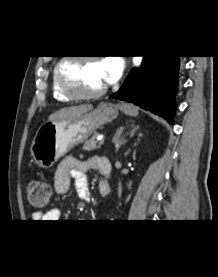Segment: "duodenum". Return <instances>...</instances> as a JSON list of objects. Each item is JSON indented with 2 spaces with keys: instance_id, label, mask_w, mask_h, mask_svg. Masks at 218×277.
<instances>
[{
  "instance_id": "duodenum-1",
  "label": "duodenum",
  "mask_w": 218,
  "mask_h": 277,
  "mask_svg": "<svg viewBox=\"0 0 218 277\" xmlns=\"http://www.w3.org/2000/svg\"><path fill=\"white\" fill-rule=\"evenodd\" d=\"M102 163H110L108 159L98 157ZM99 192L101 195L106 196L110 193V184L107 180H101L98 184Z\"/></svg>"
}]
</instances>
